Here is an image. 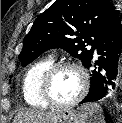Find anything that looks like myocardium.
<instances>
[{
  "mask_svg": "<svg viewBox=\"0 0 122 123\" xmlns=\"http://www.w3.org/2000/svg\"><path fill=\"white\" fill-rule=\"evenodd\" d=\"M66 68L74 69L79 73L81 77V88L79 93L72 100L68 102H57L51 97L50 87L57 72ZM88 87V75L80 65L73 62H60L53 64L45 73L41 83V96L49 106L57 108H68L78 104L85 97Z\"/></svg>",
  "mask_w": 122,
  "mask_h": 123,
  "instance_id": "f54148a6",
  "label": "myocardium"
}]
</instances>
